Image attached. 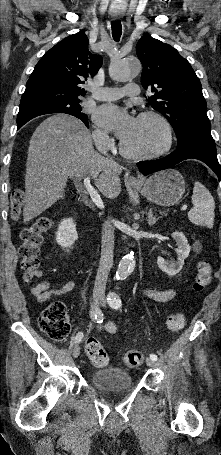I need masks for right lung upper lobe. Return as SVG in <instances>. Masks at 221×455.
I'll return each mask as SVG.
<instances>
[{
    "instance_id": "cb5924a9",
    "label": "right lung upper lobe",
    "mask_w": 221,
    "mask_h": 455,
    "mask_svg": "<svg viewBox=\"0 0 221 455\" xmlns=\"http://www.w3.org/2000/svg\"><path fill=\"white\" fill-rule=\"evenodd\" d=\"M88 44L85 33L79 32L51 48L35 66L20 108L84 96L80 85L102 65V57L92 54Z\"/></svg>"
}]
</instances>
